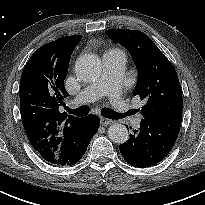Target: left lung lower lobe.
Instances as JSON below:
<instances>
[{"label":"left lung lower lobe","mask_w":205,"mask_h":205,"mask_svg":"<svg viewBox=\"0 0 205 205\" xmlns=\"http://www.w3.org/2000/svg\"><path fill=\"white\" fill-rule=\"evenodd\" d=\"M182 116L143 119L139 130H133L130 138L119 145L128 164L134 167H150L163 160L172 149L181 127Z\"/></svg>","instance_id":"left-lung-lower-lobe-1"}]
</instances>
